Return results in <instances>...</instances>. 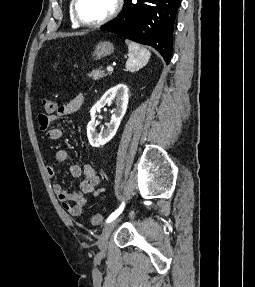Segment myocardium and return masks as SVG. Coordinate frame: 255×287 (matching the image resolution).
<instances>
[{
	"instance_id": "obj_1",
	"label": "myocardium",
	"mask_w": 255,
	"mask_h": 287,
	"mask_svg": "<svg viewBox=\"0 0 255 287\" xmlns=\"http://www.w3.org/2000/svg\"><path fill=\"white\" fill-rule=\"evenodd\" d=\"M93 33H114V32H93ZM95 39H114V38H95ZM109 48H116V47H109Z\"/></svg>"
}]
</instances>
